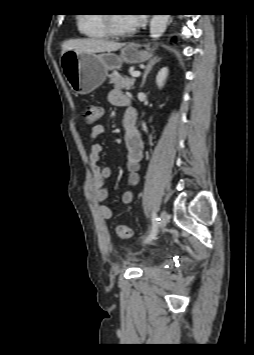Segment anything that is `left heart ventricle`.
Wrapping results in <instances>:
<instances>
[{"instance_id":"1","label":"left heart ventricle","mask_w":254,"mask_h":355,"mask_svg":"<svg viewBox=\"0 0 254 355\" xmlns=\"http://www.w3.org/2000/svg\"><path fill=\"white\" fill-rule=\"evenodd\" d=\"M113 17H114V24L117 29L127 30L133 28V25L130 22L127 15L117 13V14H113Z\"/></svg>"}]
</instances>
